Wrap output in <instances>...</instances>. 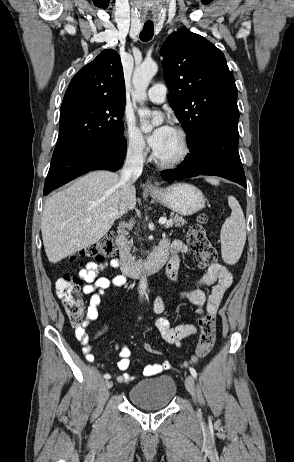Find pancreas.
<instances>
[{
  "label": "pancreas",
  "instance_id": "cf45deb5",
  "mask_svg": "<svg viewBox=\"0 0 294 462\" xmlns=\"http://www.w3.org/2000/svg\"><path fill=\"white\" fill-rule=\"evenodd\" d=\"M171 222L169 224H165V227L166 228H169L173 225L175 226H183L186 224V220L181 217V216H178V215H172V219L170 220ZM132 243V240L129 242V244L131 245Z\"/></svg>",
  "mask_w": 294,
  "mask_h": 462
}]
</instances>
